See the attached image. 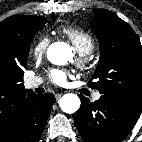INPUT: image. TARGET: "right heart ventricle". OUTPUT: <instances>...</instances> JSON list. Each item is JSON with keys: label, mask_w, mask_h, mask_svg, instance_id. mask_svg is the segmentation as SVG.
Instances as JSON below:
<instances>
[{"label": "right heart ventricle", "mask_w": 142, "mask_h": 142, "mask_svg": "<svg viewBox=\"0 0 142 142\" xmlns=\"http://www.w3.org/2000/svg\"><path fill=\"white\" fill-rule=\"evenodd\" d=\"M60 32L81 55L90 53L95 47L93 36L82 28L69 26L62 28Z\"/></svg>", "instance_id": "1"}]
</instances>
